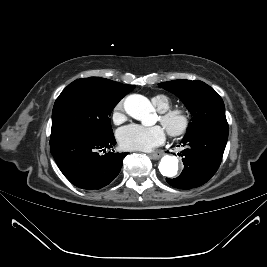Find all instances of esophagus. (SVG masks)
<instances>
[{
  "label": "esophagus",
  "mask_w": 267,
  "mask_h": 267,
  "mask_svg": "<svg viewBox=\"0 0 267 267\" xmlns=\"http://www.w3.org/2000/svg\"><path fill=\"white\" fill-rule=\"evenodd\" d=\"M164 155V153L162 151H157L154 153L150 154V157L154 160H158L159 158H161Z\"/></svg>",
  "instance_id": "34e87169"
}]
</instances>
